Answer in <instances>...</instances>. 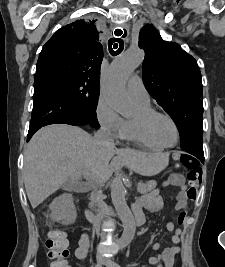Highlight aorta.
<instances>
[{
    "mask_svg": "<svg viewBox=\"0 0 225 267\" xmlns=\"http://www.w3.org/2000/svg\"><path fill=\"white\" fill-rule=\"evenodd\" d=\"M143 58V50L130 49L115 58L110 66L102 92L106 101L119 112H125L130 108L126 82L130 74L142 63ZM111 198L123 223L124 231L119 245L124 247L132 241L136 228L125 199V187L120 175L116 176L111 183Z\"/></svg>",
    "mask_w": 225,
    "mask_h": 267,
    "instance_id": "obj_1",
    "label": "aorta"
}]
</instances>
